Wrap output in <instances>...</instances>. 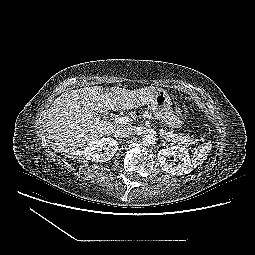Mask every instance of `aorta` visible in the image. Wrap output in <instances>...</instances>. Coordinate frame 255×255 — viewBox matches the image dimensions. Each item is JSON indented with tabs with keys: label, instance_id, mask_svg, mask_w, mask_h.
Listing matches in <instances>:
<instances>
[{
	"label": "aorta",
	"instance_id": "aorta-1",
	"mask_svg": "<svg viewBox=\"0 0 255 255\" xmlns=\"http://www.w3.org/2000/svg\"><path fill=\"white\" fill-rule=\"evenodd\" d=\"M144 146H153L156 143V137L153 134H146L142 138Z\"/></svg>",
	"mask_w": 255,
	"mask_h": 255
}]
</instances>
